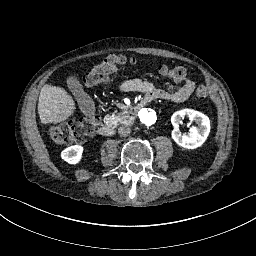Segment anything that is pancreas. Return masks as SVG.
<instances>
[{
  "label": "pancreas",
  "instance_id": "obj_1",
  "mask_svg": "<svg viewBox=\"0 0 256 256\" xmlns=\"http://www.w3.org/2000/svg\"><path fill=\"white\" fill-rule=\"evenodd\" d=\"M135 120L136 116L130 117V111L123 108L119 113H111L109 115L108 124L114 127H117L120 124L132 125Z\"/></svg>",
  "mask_w": 256,
  "mask_h": 256
}]
</instances>
